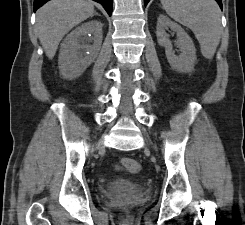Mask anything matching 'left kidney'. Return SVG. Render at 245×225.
<instances>
[{
	"label": "left kidney",
	"mask_w": 245,
	"mask_h": 225,
	"mask_svg": "<svg viewBox=\"0 0 245 225\" xmlns=\"http://www.w3.org/2000/svg\"><path fill=\"white\" fill-rule=\"evenodd\" d=\"M167 28H170L177 34L178 39L175 43L181 51L179 56L174 54L171 41L165 32ZM156 29L158 43L160 46L165 47L166 57L172 69L181 73L192 72L197 60L196 49L192 39L185 30L163 14H160L157 19Z\"/></svg>",
	"instance_id": "obj_1"
}]
</instances>
